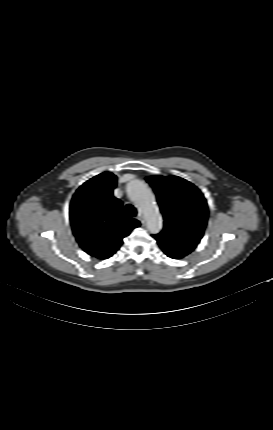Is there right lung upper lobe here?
Here are the masks:
<instances>
[{
  "instance_id": "obj_1",
  "label": "right lung upper lobe",
  "mask_w": 273,
  "mask_h": 430,
  "mask_svg": "<svg viewBox=\"0 0 273 430\" xmlns=\"http://www.w3.org/2000/svg\"><path fill=\"white\" fill-rule=\"evenodd\" d=\"M117 177L103 172L86 181L73 195L70 221L80 247L99 259L111 257L124 237L140 222L123 217V204L113 196Z\"/></svg>"
}]
</instances>
